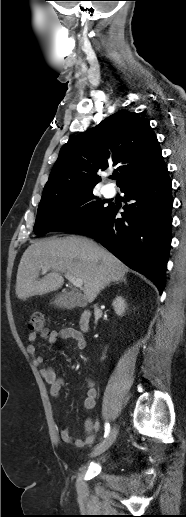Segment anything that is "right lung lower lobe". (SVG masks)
I'll use <instances>...</instances> for the list:
<instances>
[{
	"mask_svg": "<svg viewBox=\"0 0 186 517\" xmlns=\"http://www.w3.org/2000/svg\"><path fill=\"white\" fill-rule=\"evenodd\" d=\"M127 201L122 218L108 206L89 225L75 231L90 235L130 268L151 279L160 294L171 244V180L163 162L152 172L121 187Z\"/></svg>",
	"mask_w": 186,
	"mask_h": 517,
	"instance_id": "right-lung-lower-lobe-1",
	"label": "right lung lower lobe"
}]
</instances>
